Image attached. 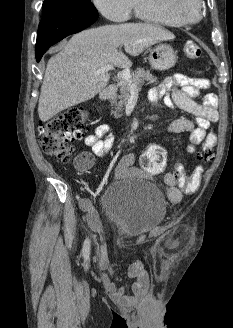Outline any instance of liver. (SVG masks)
<instances>
[{
  "label": "liver",
  "instance_id": "obj_1",
  "mask_svg": "<svg viewBox=\"0 0 233 328\" xmlns=\"http://www.w3.org/2000/svg\"><path fill=\"white\" fill-rule=\"evenodd\" d=\"M174 38L170 31L146 23L105 25L73 35L47 63L38 103L40 120L46 122L104 89L110 74H96L97 69L131 67L120 46L129 55L138 56L149 46Z\"/></svg>",
  "mask_w": 233,
  "mask_h": 328
}]
</instances>
